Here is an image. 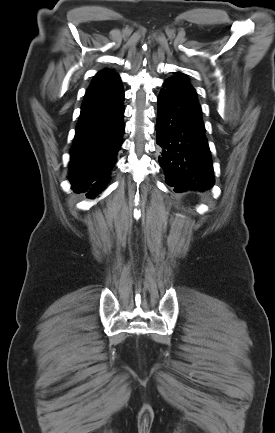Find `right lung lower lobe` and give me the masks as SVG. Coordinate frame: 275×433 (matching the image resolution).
Masks as SVG:
<instances>
[{"instance_id":"98d812e1","label":"right lung lower lobe","mask_w":275,"mask_h":433,"mask_svg":"<svg viewBox=\"0 0 275 433\" xmlns=\"http://www.w3.org/2000/svg\"><path fill=\"white\" fill-rule=\"evenodd\" d=\"M123 101L121 82L86 91L70 152L74 192L94 198L105 189L122 144Z\"/></svg>"}]
</instances>
